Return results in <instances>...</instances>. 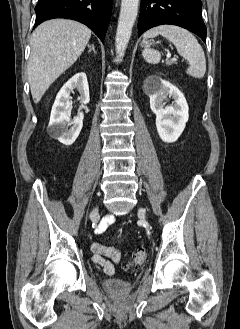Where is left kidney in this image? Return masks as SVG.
I'll return each mask as SVG.
<instances>
[{
    "instance_id": "1",
    "label": "left kidney",
    "mask_w": 240,
    "mask_h": 329,
    "mask_svg": "<svg viewBox=\"0 0 240 329\" xmlns=\"http://www.w3.org/2000/svg\"><path fill=\"white\" fill-rule=\"evenodd\" d=\"M143 87L150 98V108L156 115L160 138L167 143L175 142L189 118V108L184 95L177 87L157 75L146 78ZM167 96L172 97L174 103L164 107Z\"/></svg>"
}]
</instances>
